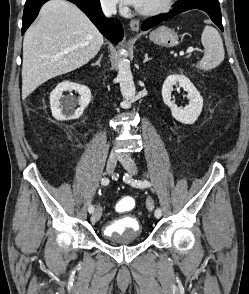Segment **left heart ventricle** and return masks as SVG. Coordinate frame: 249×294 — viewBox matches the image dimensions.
Returning <instances> with one entry per match:
<instances>
[{
    "instance_id": "b2bd125f",
    "label": "left heart ventricle",
    "mask_w": 249,
    "mask_h": 294,
    "mask_svg": "<svg viewBox=\"0 0 249 294\" xmlns=\"http://www.w3.org/2000/svg\"><path fill=\"white\" fill-rule=\"evenodd\" d=\"M166 0H142L139 8L141 9H151L163 4Z\"/></svg>"
}]
</instances>
